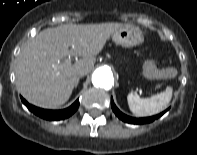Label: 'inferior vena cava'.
Instances as JSON below:
<instances>
[{"label":"inferior vena cava","mask_w":197,"mask_h":155,"mask_svg":"<svg viewBox=\"0 0 197 155\" xmlns=\"http://www.w3.org/2000/svg\"><path fill=\"white\" fill-rule=\"evenodd\" d=\"M87 73H88L87 70H85V69H80V70L77 72V75H78V77H82V76L86 75Z\"/></svg>","instance_id":"1"}]
</instances>
